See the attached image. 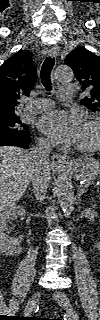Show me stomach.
<instances>
[{"label": "stomach", "mask_w": 100, "mask_h": 320, "mask_svg": "<svg viewBox=\"0 0 100 320\" xmlns=\"http://www.w3.org/2000/svg\"><path fill=\"white\" fill-rule=\"evenodd\" d=\"M68 170L77 180L91 181L100 175V161L91 156H84L71 161Z\"/></svg>", "instance_id": "stomach-1"}]
</instances>
